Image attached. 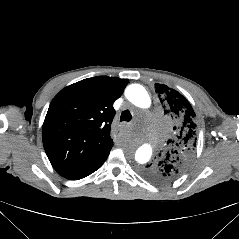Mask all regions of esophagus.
Instances as JSON below:
<instances>
[{
    "mask_svg": "<svg viewBox=\"0 0 239 239\" xmlns=\"http://www.w3.org/2000/svg\"><path fill=\"white\" fill-rule=\"evenodd\" d=\"M112 132L116 136H121L123 134V129L121 127L115 126L113 127Z\"/></svg>",
    "mask_w": 239,
    "mask_h": 239,
    "instance_id": "esophagus-1",
    "label": "esophagus"
}]
</instances>
